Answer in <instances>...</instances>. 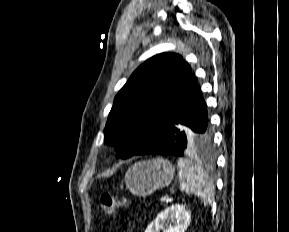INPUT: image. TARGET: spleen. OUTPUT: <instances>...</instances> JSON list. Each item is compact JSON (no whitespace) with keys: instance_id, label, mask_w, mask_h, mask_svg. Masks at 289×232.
Listing matches in <instances>:
<instances>
[{"instance_id":"3e777b00","label":"spleen","mask_w":289,"mask_h":232,"mask_svg":"<svg viewBox=\"0 0 289 232\" xmlns=\"http://www.w3.org/2000/svg\"><path fill=\"white\" fill-rule=\"evenodd\" d=\"M179 182L188 195H196L205 206L212 204L214 198V185L198 163L188 159H178Z\"/></svg>"}]
</instances>
